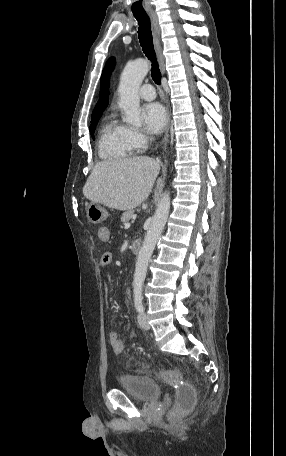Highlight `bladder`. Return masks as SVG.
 I'll list each match as a JSON object with an SVG mask.
<instances>
[{
    "label": "bladder",
    "mask_w": 286,
    "mask_h": 456,
    "mask_svg": "<svg viewBox=\"0 0 286 456\" xmlns=\"http://www.w3.org/2000/svg\"><path fill=\"white\" fill-rule=\"evenodd\" d=\"M119 386L125 393L142 402L155 401L162 395L161 386L156 381L136 374L121 375Z\"/></svg>",
    "instance_id": "obj_1"
}]
</instances>
